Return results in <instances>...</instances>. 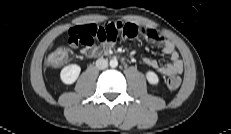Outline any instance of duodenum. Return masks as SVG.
I'll return each instance as SVG.
<instances>
[{
  "label": "duodenum",
  "instance_id": "duodenum-1",
  "mask_svg": "<svg viewBox=\"0 0 231 134\" xmlns=\"http://www.w3.org/2000/svg\"><path fill=\"white\" fill-rule=\"evenodd\" d=\"M104 53L102 51H99L96 53V56H102Z\"/></svg>",
  "mask_w": 231,
  "mask_h": 134
}]
</instances>
